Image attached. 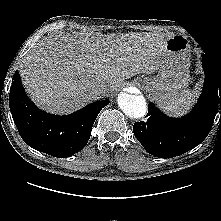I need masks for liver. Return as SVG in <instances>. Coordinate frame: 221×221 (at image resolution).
I'll list each match as a JSON object with an SVG mask.
<instances>
[{
  "instance_id": "liver-1",
  "label": "liver",
  "mask_w": 221,
  "mask_h": 221,
  "mask_svg": "<svg viewBox=\"0 0 221 221\" xmlns=\"http://www.w3.org/2000/svg\"><path fill=\"white\" fill-rule=\"evenodd\" d=\"M169 38L157 33L49 36L23 58L20 76L39 108L68 114L99 98L93 93L98 83H105L108 93L136 74L158 71Z\"/></svg>"
}]
</instances>
